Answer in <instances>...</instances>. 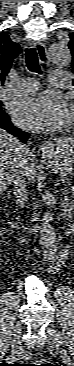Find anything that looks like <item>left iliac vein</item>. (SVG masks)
<instances>
[{"mask_svg": "<svg viewBox=\"0 0 74 366\" xmlns=\"http://www.w3.org/2000/svg\"><path fill=\"white\" fill-rule=\"evenodd\" d=\"M46 332L50 336L49 340H50V344H51L52 348H54L56 350H61L62 358H63L64 362L68 366L72 365V359L70 358L68 353L62 348L60 334L57 333V331L53 327H50V326L47 327Z\"/></svg>", "mask_w": 74, "mask_h": 366, "instance_id": "1", "label": "left iliac vein"}]
</instances>
